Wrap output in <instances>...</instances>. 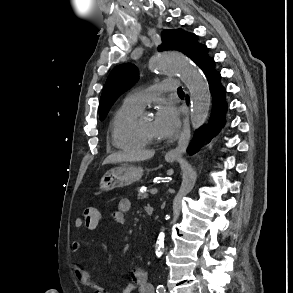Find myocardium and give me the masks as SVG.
Wrapping results in <instances>:
<instances>
[{"label":"myocardium","mask_w":293,"mask_h":293,"mask_svg":"<svg viewBox=\"0 0 293 293\" xmlns=\"http://www.w3.org/2000/svg\"><path fill=\"white\" fill-rule=\"evenodd\" d=\"M138 132L141 135V137L149 144V145H156L159 144L160 141L152 138L151 136L147 135L141 128L140 126L137 127Z\"/></svg>","instance_id":"1"}]
</instances>
